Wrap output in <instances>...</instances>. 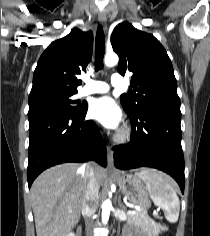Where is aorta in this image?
I'll list each match as a JSON object with an SVG mask.
<instances>
[{"label": "aorta", "mask_w": 210, "mask_h": 236, "mask_svg": "<svg viewBox=\"0 0 210 236\" xmlns=\"http://www.w3.org/2000/svg\"><path fill=\"white\" fill-rule=\"evenodd\" d=\"M119 61L116 53H107L104 58V64L108 67L115 66ZM112 209V203L110 199H106L102 204V222L106 224L109 220L110 210Z\"/></svg>", "instance_id": "762f6f07"}]
</instances>
